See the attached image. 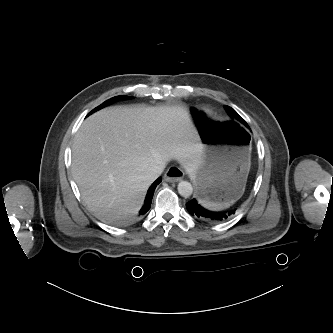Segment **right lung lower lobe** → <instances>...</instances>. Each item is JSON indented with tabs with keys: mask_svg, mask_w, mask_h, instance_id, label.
<instances>
[{
	"mask_svg": "<svg viewBox=\"0 0 333 333\" xmlns=\"http://www.w3.org/2000/svg\"><path fill=\"white\" fill-rule=\"evenodd\" d=\"M161 182V177H159L149 188L145 201H144V205L141 208L139 215H144L151 207V202H152V198H153V193L154 190L156 188V186Z\"/></svg>",
	"mask_w": 333,
	"mask_h": 333,
	"instance_id": "98d812e1",
	"label": "right lung lower lobe"
}]
</instances>
